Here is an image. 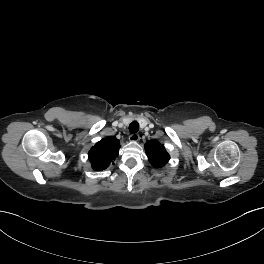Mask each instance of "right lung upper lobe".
<instances>
[{
    "instance_id": "right-lung-upper-lobe-1",
    "label": "right lung upper lobe",
    "mask_w": 264,
    "mask_h": 264,
    "mask_svg": "<svg viewBox=\"0 0 264 264\" xmlns=\"http://www.w3.org/2000/svg\"><path fill=\"white\" fill-rule=\"evenodd\" d=\"M119 140L115 137H106L96 143L89 151V160L94 170H102L118 156Z\"/></svg>"
}]
</instances>
